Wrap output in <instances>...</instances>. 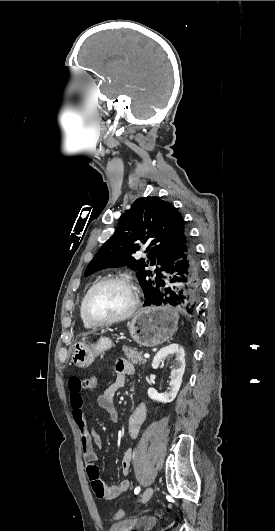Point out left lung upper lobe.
Masks as SVG:
<instances>
[{
	"instance_id": "left-lung-upper-lobe-1",
	"label": "left lung upper lobe",
	"mask_w": 275,
	"mask_h": 531,
	"mask_svg": "<svg viewBox=\"0 0 275 531\" xmlns=\"http://www.w3.org/2000/svg\"><path fill=\"white\" fill-rule=\"evenodd\" d=\"M185 230L184 220L177 209L160 198L143 197L134 201L120 220L112 237L99 249L85 271V276L107 267L127 265L137 272L145 296V304L154 302L165 285L162 271L175 243ZM145 248L150 265H161L154 275L145 270L149 260L133 257Z\"/></svg>"
}]
</instances>
